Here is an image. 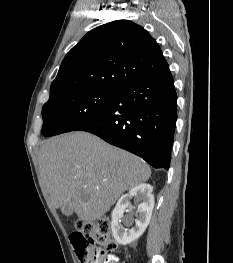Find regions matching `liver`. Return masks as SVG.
I'll use <instances>...</instances> for the list:
<instances>
[{"instance_id": "obj_1", "label": "liver", "mask_w": 233, "mask_h": 263, "mask_svg": "<svg viewBox=\"0 0 233 263\" xmlns=\"http://www.w3.org/2000/svg\"><path fill=\"white\" fill-rule=\"evenodd\" d=\"M39 164L52 205L61 209L68 205L88 223L100 219L125 191L151 176L142 159L86 132L46 140Z\"/></svg>"}]
</instances>
